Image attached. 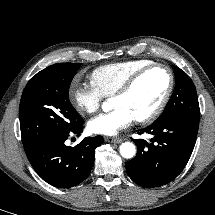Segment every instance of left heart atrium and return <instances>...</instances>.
Wrapping results in <instances>:
<instances>
[{
    "label": "left heart atrium",
    "instance_id": "obj_1",
    "mask_svg": "<svg viewBox=\"0 0 215 215\" xmlns=\"http://www.w3.org/2000/svg\"><path fill=\"white\" fill-rule=\"evenodd\" d=\"M135 120L132 113L124 108H115L112 112L101 114L88 123L90 132L106 136H114L122 129L129 127Z\"/></svg>",
    "mask_w": 215,
    "mask_h": 215
}]
</instances>
